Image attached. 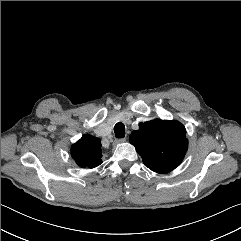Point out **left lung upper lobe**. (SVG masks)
<instances>
[{
    "label": "left lung upper lobe",
    "instance_id": "5c2ea615",
    "mask_svg": "<svg viewBox=\"0 0 241 241\" xmlns=\"http://www.w3.org/2000/svg\"><path fill=\"white\" fill-rule=\"evenodd\" d=\"M129 142L141 155L143 163L157 173H168L183 160L188 148L185 127L177 121L152 120L139 124Z\"/></svg>",
    "mask_w": 241,
    "mask_h": 241
}]
</instances>
